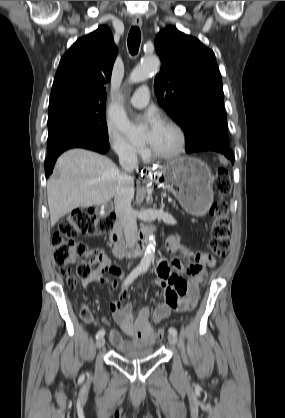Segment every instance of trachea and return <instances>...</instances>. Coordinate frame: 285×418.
Returning a JSON list of instances; mask_svg holds the SVG:
<instances>
[{
  "instance_id": "3493384b",
  "label": "trachea",
  "mask_w": 285,
  "mask_h": 418,
  "mask_svg": "<svg viewBox=\"0 0 285 418\" xmlns=\"http://www.w3.org/2000/svg\"><path fill=\"white\" fill-rule=\"evenodd\" d=\"M141 42V32L138 27H132L128 35V48L131 54L138 52Z\"/></svg>"
}]
</instances>
